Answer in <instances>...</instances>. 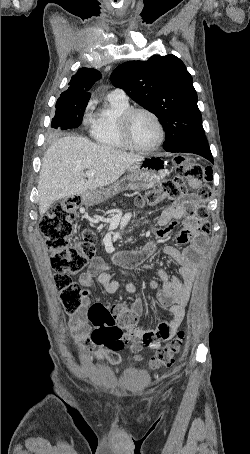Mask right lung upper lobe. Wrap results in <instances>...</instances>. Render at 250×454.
<instances>
[{
  "label": "right lung upper lobe",
  "mask_w": 250,
  "mask_h": 454,
  "mask_svg": "<svg viewBox=\"0 0 250 454\" xmlns=\"http://www.w3.org/2000/svg\"><path fill=\"white\" fill-rule=\"evenodd\" d=\"M101 78V73L93 68H80L77 73L72 76L69 82V88L62 92L57 102L77 103L88 102L90 93L88 92L95 81Z\"/></svg>",
  "instance_id": "obj_1"
}]
</instances>
